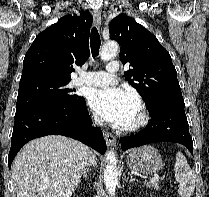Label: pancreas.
<instances>
[{"label":"pancreas","instance_id":"obj_1","mask_svg":"<svg viewBox=\"0 0 209 197\" xmlns=\"http://www.w3.org/2000/svg\"><path fill=\"white\" fill-rule=\"evenodd\" d=\"M147 187L158 189L159 188V183L158 182H156V183H149V184H147Z\"/></svg>","mask_w":209,"mask_h":197}]
</instances>
